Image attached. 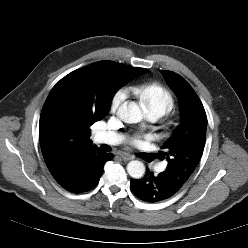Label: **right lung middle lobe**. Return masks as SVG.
Masks as SVG:
<instances>
[{
  "instance_id": "obj_1",
  "label": "right lung middle lobe",
  "mask_w": 248,
  "mask_h": 248,
  "mask_svg": "<svg viewBox=\"0 0 248 248\" xmlns=\"http://www.w3.org/2000/svg\"><path fill=\"white\" fill-rule=\"evenodd\" d=\"M147 72H149L148 69L131 67L118 63L115 71L111 73L110 77L116 83L117 88H119L133 78H136Z\"/></svg>"
}]
</instances>
